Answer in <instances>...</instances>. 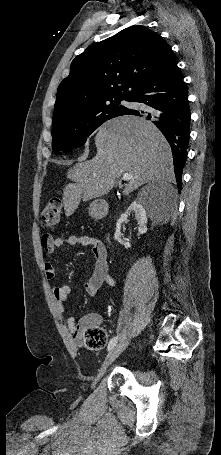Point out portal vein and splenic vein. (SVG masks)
Returning <instances> with one entry per match:
<instances>
[{
    "label": "portal vein and splenic vein",
    "mask_w": 221,
    "mask_h": 455,
    "mask_svg": "<svg viewBox=\"0 0 221 455\" xmlns=\"http://www.w3.org/2000/svg\"><path fill=\"white\" fill-rule=\"evenodd\" d=\"M122 179L124 181H128V180L132 179V176L129 173H125V174H123Z\"/></svg>",
    "instance_id": "obj_1"
}]
</instances>
